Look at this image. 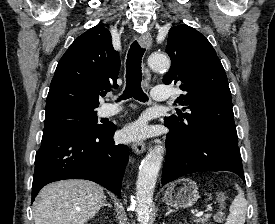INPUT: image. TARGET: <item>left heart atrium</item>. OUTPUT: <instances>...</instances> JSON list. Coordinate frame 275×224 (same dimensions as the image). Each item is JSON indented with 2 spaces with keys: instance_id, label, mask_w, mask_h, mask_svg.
Wrapping results in <instances>:
<instances>
[{
  "instance_id": "obj_1",
  "label": "left heart atrium",
  "mask_w": 275,
  "mask_h": 224,
  "mask_svg": "<svg viewBox=\"0 0 275 224\" xmlns=\"http://www.w3.org/2000/svg\"><path fill=\"white\" fill-rule=\"evenodd\" d=\"M147 136V127L143 122H137L123 131V137L126 140H138Z\"/></svg>"
}]
</instances>
